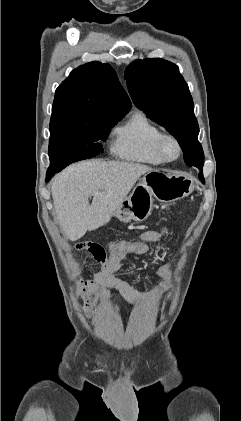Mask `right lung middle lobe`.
Segmentation results:
<instances>
[{"instance_id": "obj_1", "label": "right lung middle lobe", "mask_w": 241, "mask_h": 421, "mask_svg": "<svg viewBox=\"0 0 241 421\" xmlns=\"http://www.w3.org/2000/svg\"><path fill=\"white\" fill-rule=\"evenodd\" d=\"M123 117L103 116L90 120L51 117L49 169L62 170L69 164L103 152L99 140L107 139L110 128Z\"/></svg>"}]
</instances>
